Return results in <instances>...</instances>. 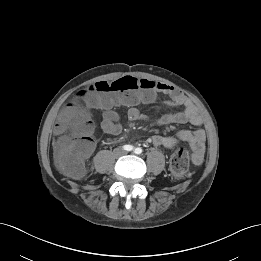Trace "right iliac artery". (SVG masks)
I'll list each match as a JSON object with an SVG mask.
<instances>
[{
  "mask_svg": "<svg viewBox=\"0 0 261 261\" xmlns=\"http://www.w3.org/2000/svg\"><path fill=\"white\" fill-rule=\"evenodd\" d=\"M123 149L126 150V151H132L134 149V147L131 146V145H124Z\"/></svg>",
  "mask_w": 261,
  "mask_h": 261,
  "instance_id": "right-iliac-artery-1",
  "label": "right iliac artery"
}]
</instances>
